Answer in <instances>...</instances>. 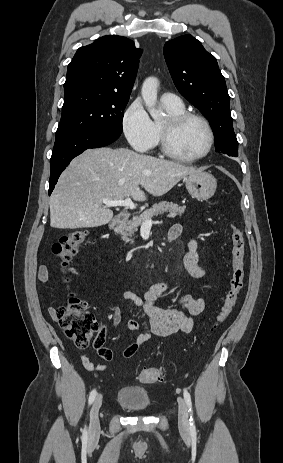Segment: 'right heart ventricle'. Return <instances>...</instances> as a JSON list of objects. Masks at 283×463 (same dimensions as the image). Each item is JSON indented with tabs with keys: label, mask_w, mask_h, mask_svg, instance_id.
<instances>
[{
	"label": "right heart ventricle",
	"mask_w": 283,
	"mask_h": 463,
	"mask_svg": "<svg viewBox=\"0 0 283 463\" xmlns=\"http://www.w3.org/2000/svg\"><path fill=\"white\" fill-rule=\"evenodd\" d=\"M165 110L167 111L168 115H175L180 114L185 111L184 104L181 102L179 105H169L167 103L162 102ZM156 130H157V139L155 144L159 141L160 137V122H154Z\"/></svg>",
	"instance_id": "e07e8e85"
}]
</instances>
